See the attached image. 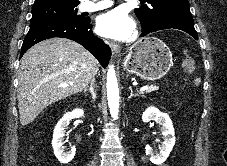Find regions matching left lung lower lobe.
Returning <instances> with one entry per match:
<instances>
[{"label":"left lung lower lobe","mask_w":227,"mask_h":166,"mask_svg":"<svg viewBox=\"0 0 227 166\" xmlns=\"http://www.w3.org/2000/svg\"><path fill=\"white\" fill-rule=\"evenodd\" d=\"M164 29L182 30L193 36L196 40H198V35L194 28V22L190 13H179L168 16L160 20L155 26L149 29L142 27V34L140 35V37Z\"/></svg>","instance_id":"obj_1"}]
</instances>
